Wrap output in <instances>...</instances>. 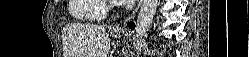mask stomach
I'll list each match as a JSON object with an SVG mask.
<instances>
[{"label": "stomach", "mask_w": 249, "mask_h": 57, "mask_svg": "<svg viewBox=\"0 0 249 57\" xmlns=\"http://www.w3.org/2000/svg\"><path fill=\"white\" fill-rule=\"evenodd\" d=\"M111 34L115 38H120L124 35V32L123 31H111Z\"/></svg>", "instance_id": "1"}]
</instances>
